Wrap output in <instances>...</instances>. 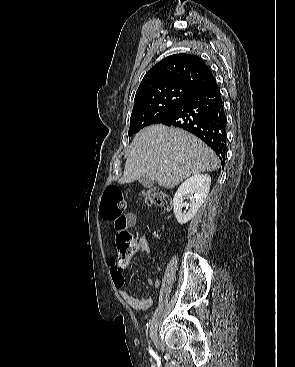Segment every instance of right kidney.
<instances>
[{
	"mask_svg": "<svg viewBox=\"0 0 295 367\" xmlns=\"http://www.w3.org/2000/svg\"><path fill=\"white\" fill-rule=\"evenodd\" d=\"M210 184L211 177L209 175L196 174L180 185L173 198V211L178 223L185 224L195 216L208 195ZM185 196L190 199L187 212L183 211L187 205L184 202Z\"/></svg>",
	"mask_w": 295,
	"mask_h": 367,
	"instance_id": "ca27d5eb",
	"label": "right kidney"
}]
</instances>
